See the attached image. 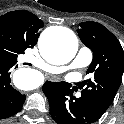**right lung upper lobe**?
<instances>
[{
	"label": "right lung upper lobe",
	"instance_id": "1",
	"mask_svg": "<svg viewBox=\"0 0 124 124\" xmlns=\"http://www.w3.org/2000/svg\"><path fill=\"white\" fill-rule=\"evenodd\" d=\"M43 25L37 16L26 10L11 11L0 16V32L11 36L23 52L36 45L40 35L38 31Z\"/></svg>",
	"mask_w": 124,
	"mask_h": 124
}]
</instances>
